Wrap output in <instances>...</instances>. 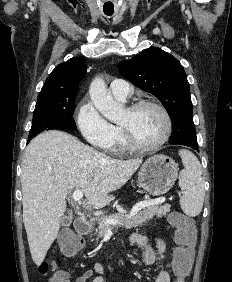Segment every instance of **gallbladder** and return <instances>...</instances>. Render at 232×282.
Instances as JSON below:
<instances>
[{
	"mask_svg": "<svg viewBox=\"0 0 232 282\" xmlns=\"http://www.w3.org/2000/svg\"><path fill=\"white\" fill-rule=\"evenodd\" d=\"M71 221H72L71 212H68V214L63 216L61 219L62 225H69Z\"/></svg>",
	"mask_w": 232,
	"mask_h": 282,
	"instance_id": "1",
	"label": "gallbladder"
}]
</instances>
